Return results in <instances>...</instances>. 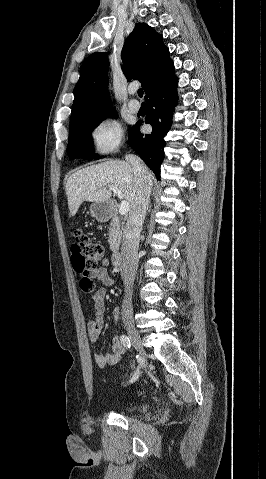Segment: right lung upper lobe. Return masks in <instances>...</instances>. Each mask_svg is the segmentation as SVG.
Returning <instances> with one entry per match:
<instances>
[{
  "label": "right lung upper lobe",
  "instance_id": "1",
  "mask_svg": "<svg viewBox=\"0 0 266 479\" xmlns=\"http://www.w3.org/2000/svg\"><path fill=\"white\" fill-rule=\"evenodd\" d=\"M121 56L124 75L129 81L139 80L146 96L175 76L162 36L146 23L136 25L125 41ZM107 70V53L96 52L84 60L75 88L70 122L113 109Z\"/></svg>",
  "mask_w": 266,
  "mask_h": 479
}]
</instances>
